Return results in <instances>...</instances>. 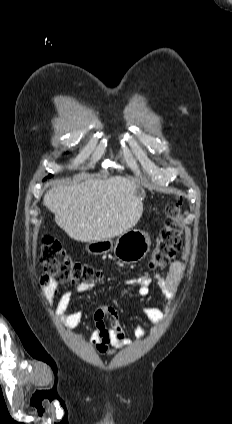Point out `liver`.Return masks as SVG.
<instances>
[{
    "mask_svg": "<svg viewBox=\"0 0 232 424\" xmlns=\"http://www.w3.org/2000/svg\"><path fill=\"white\" fill-rule=\"evenodd\" d=\"M139 189L135 180L121 176L89 178L70 186L57 183L45 193L43 204L72 239L100 241L136 225L143 212Z\"/></svg>",
    "mask_w": 232,
    "mask_h": 424,
    "instance_id": "obj_1",
    "label": "liver"
}]
</instances>
